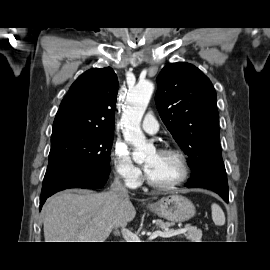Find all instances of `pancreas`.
I'll use <instances>...</instances> for the list:
<instances>
[{"label": "pancreas", "instance_id": "cf45deb5", "mask_svg": "<svg viewBox=\"0 0 270 270\" xmlns=\"http://www.w3.org/2000/svg\"><path fill=\"white\" fill-rule=\"evenodd\" d=\"M170 225V223L164 222L163 220L156 221L157 228L164 231H166V229L169 228ZM184 236L191 242H200L202 238V231L200 229H197V227H188L186 233H184Z\"/></svg>", "mask_w": 270, "mask_h": 270}]
</instances>
